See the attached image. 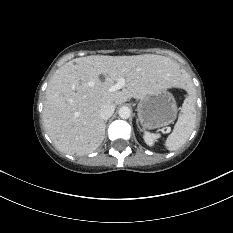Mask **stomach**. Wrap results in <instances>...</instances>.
<instances>
[{
    "instance_id": "1",
    "label": "stomach",
    "mask_w": 233,
    "mask_h": 233,
    "mask_svg": "<svg viewBox=\"0 0 233 233\" xmlns=\"http://www.w3.org/2000/svg\"><path fill=\"white\" fill-rule=\"evenodd\" d=\"M177 114L173 95L162 89L140 99L137 107L138 120L143 128L155 129L172 123Z\"/></svg>"
}]
</instances>
